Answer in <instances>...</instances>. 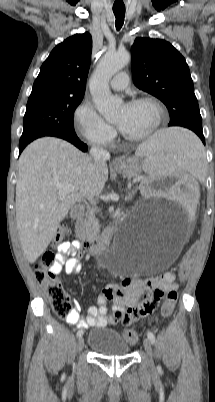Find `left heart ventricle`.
Listing matches in <instances>:
<instances>
[{
    "instance_id": "obj_1",
    "label": "left heart ventricle",
    "mask_w": 215,
    "mask_h": 402,
    "mask_svg": "<svg viewBox=\"0 0 215 402\" xmlns=\"http://www.w3.org/2000/svg\"><path fill=\"white\" fill-rule=\"evenodd\" d=\"M117 122H124L123 132L128 135H140L147 132L155 121V110L148 103L123 105L116 118Z\"/></svg>"
}]
</instances>
